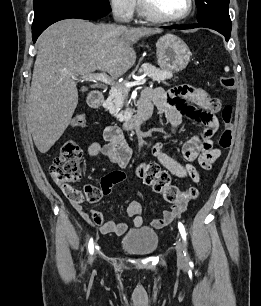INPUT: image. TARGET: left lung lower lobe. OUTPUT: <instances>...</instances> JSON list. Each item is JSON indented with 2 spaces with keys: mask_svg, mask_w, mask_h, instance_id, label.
<instances>
[{
  "mask_svg": "<svg viewBox=\"0 0 261 306\" xmlns=\"http://www.w3.org/2000/svg\"><path fill=\"white\" fill-rule=\"evenodd\" d=\"M198 27H206L213 30L218 31L222 35L225 36L226 41L230 38L231 33V27H222L218 25H212V24H203V23H196V24H189V25H174V26H168L167 28H175V29H192V28H198Z\"/></svg>",
  "mask_w": 261,
  "mask_h": 306,
  "instance_id": "0a47b994",
  "label": "left lung lower lobe"
}]
</instances>
